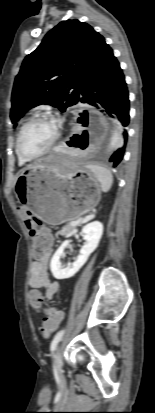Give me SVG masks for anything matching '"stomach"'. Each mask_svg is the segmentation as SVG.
I'll return each instance as SVG.
<instances>
[{
    "label": "stomach",
    "instance_id": "1",
    "mask_svg": "<svg viewBox=\"0 0 155 413\" xmlns=\"http://www.w3.org/2000/svg\"><path fill=\"white\" fill-rule=\"evenodd\" d=\"M15 194L21 205L47 224L79 219L100 201L101 185L86 167H63L52 159L19 171Z\"/></svg>",
    "mask_w": 155,
    "mask_h": 413
}]
</instances>
